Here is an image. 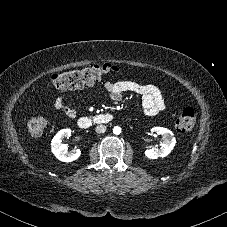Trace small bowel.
Returning a JSON list of instances; mask_svg holds the SVG:
<instances>
[{
  "label": "small bowel",
  "mask_w": 227,
  "mask_h": 227,
  "mask_svg": "<svg viewBox=\"0 0 227 227\" xmlns=\"http://www.w3.org/2000/svg\"><path fill=\"white\" fill-rule=\"evenodd\" d=\"M51 87L47 85V89ZM105 89L112 100L119 101L126 93H134L140 96L143 111L148 116H154L164 110L165 103L160 89L151 84H141L135 81H118L107 82ZM52 107L61 111L69 118L75 116V110L61 96L54 99L51 103Z\"/></svg>",
  "instance_id": "small-bowel-1"
}]
</instances>
